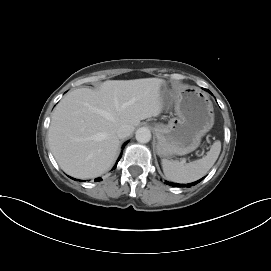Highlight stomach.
<instances>
[{
	"label": "stomach",
	"instance_id": "stomach-1",
	"mask_svg": "<svg viewBox=\"0 0 271 271\" xmlns=\"http://www.w3.org/2000/svg\"><path fill=\"white\" fill-rule=\"evenodd\" d=\"M162 107L174 106L177 117L168 124H156V150L160 157L185 155L194 151L201 138L214 125L213 105L208 95L197 87L164 84L160 89Z\"/></svg>",
	"mask_w": 271,
	"mask_h": 271
}]
</instances>
